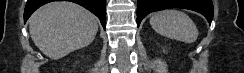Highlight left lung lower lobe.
Listing matches in <instances>:
<instances>
[{"instance_id":"1","label":"left lung lower lobe","mask_w":244,"mask_h":73,"mask_svg":"<svg viewBox=\"0 0 244 73\" xmlns=\"http://www.w3.org/2000/svg\"><path fill=\"white\" fill-rule=\"evenodd\" d=\"M167 8H184L199 12L207 18L209 23L213 19V4L211 0H138V27L147 14Z\"/></svg>"}]
</instances>
